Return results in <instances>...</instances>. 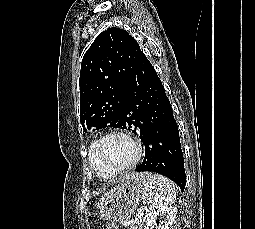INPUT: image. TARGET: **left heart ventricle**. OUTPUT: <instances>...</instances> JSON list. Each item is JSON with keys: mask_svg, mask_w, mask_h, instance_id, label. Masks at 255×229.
<instances>
[{"mask_svg": "<svg viewBox=\"0 0 255 229\" xmlns=\"http://www.w3.org/2000/svg\"><path fill=\"white\" fill-rule=\"evenodd\" d=\"M98 152L101 160L113 168L128 165L135 156L133 144L122 136L106 138L100 144Z\"/></svg>", "mask_w": 255, "mask_h": 229, "instance_id": "obj_1", "label": "left heart ventricle"}]
</instances>
